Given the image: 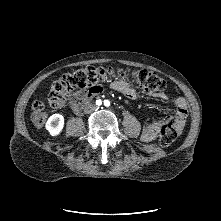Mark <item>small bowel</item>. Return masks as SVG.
I'll use <instances>...</instances> for the list:
<instances>
[{
	"instance_id": "obj_1",
	"label": "small bowel",
	"mask_w": 221,
	"mask_h": 221,
	"mask_svg": "<svg viewBox=\"0 0 221 221\" xmlns=\"http://www.w3.org/2000/svg\"><path fill=\"white\" fill-rule=\"evenodd\" d=\"M110 87L124 95L129 99H136L139 95V91L136 90L132 85L128 84L127 82L121 80H115L110 84ZM103 91V88L100 87L97 91H89V90H79L74 92L69 97V102L72 110L77 112L79 110L78 100L85 98L88 95L95 96L100 94ZM151 97L157 98L161 101H167L168 96L164 92H155L148 94ZM187 117V104L184 98L179 97L176 99V111H175V120H174V127L176 128L177 132H181ZM164 124L163 120H156L151 123L144 125L141 138L144 142H151L153 141L161 126Z\"/></svg>"
}]
</instances>
